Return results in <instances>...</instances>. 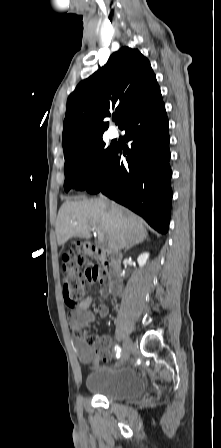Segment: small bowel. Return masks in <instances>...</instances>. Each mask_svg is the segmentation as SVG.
I'll return each instance as SVG.
<instances>
[{
  "label": "small bowel",
  "mask_w": 221,
  "mask_h": 448,
  "mask_svg": "<svg viewBox=\"0 0 221 448\" xmlns=\"http://www.w3.org/2000/svg\"><path fill=\"white\" fill-rule=\"evenodd\" d=\"M100 293L104 297L109 294L105 286L101 287ZM92 301V296L87 295L76 308L71 309L69 317V325L74 334V346L79 359L84 363L91 361L94 356L92 348L82 337L85 329L95 322V315L89 309ZM97 313L100 317H106L109 314V307L105 304H101L97 308ZM100 353L102 356L106 355L107 360L110 358V353L106 347L100 349Z\"/></svg>",
  "instance_id": "1"
}]
</instances>
